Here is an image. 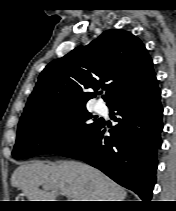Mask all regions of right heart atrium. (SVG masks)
Masks as SVG:
<instances>
[{"label":"right heart atrium","instance_id":"d8ad5b80","mask_svg":"<svg viewBox=\"0 0 176 211\" xmlns=\"http://www.w3.org/2000/svg\"><path fill=\"white\" fill-rule=\"evenodd\" d=\"M59 131L65 138H70L75 132V121L72 117H64L59 122Z\"/></svg>","mask_w":176,"mask_h":211}]
</instances>
